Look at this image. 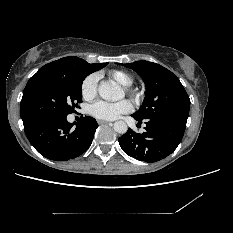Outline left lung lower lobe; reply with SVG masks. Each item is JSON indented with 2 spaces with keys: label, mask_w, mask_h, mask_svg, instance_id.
<instances>
[{
  "label": "left lung lower lobe",
  "mask_w": 233,
  "mask_h": 233,
  "mask_svg": "<svg viewBox=\"0 0 233 233\" xmlns=\"http://www.w3.org/2000/svg\"><path fill=\"white\" fill-rule=\"evenodd\" d=\"M134 118L139 123L142 122V120ZM144 121L145 132L140 134L128 129L118 139L122 150L127 155L148 163L157 162L173 153L182 140L187 121L160 117Z\"/></svg>",
  "instance_id": "left-lung-lower-lobe-1"
}]
</instances>
